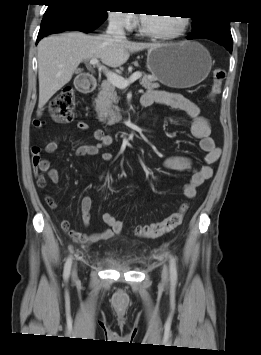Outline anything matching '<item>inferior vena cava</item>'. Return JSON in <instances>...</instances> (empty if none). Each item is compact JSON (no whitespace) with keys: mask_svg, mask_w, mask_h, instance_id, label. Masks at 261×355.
I'll return each mask as SVG.
<instances>
[{"mask_svg":"<svg viewBox=\"0 0 261 355\" xmlns=\"http://www.w3.org/2000/svg\"><path fill=\"white\" fill-rule=\"evenodd\" d=\"M106 35L112 37L115 40H126L125 32L122 27L121 21L114 17L109 21V25L106 31Z\"/></svg>","mask_w":261,"mask_h":355,"instance_id":"602c4592","label":"inferior vena cava"}]
</instances>
